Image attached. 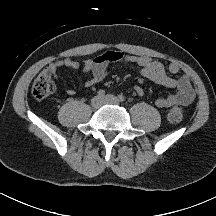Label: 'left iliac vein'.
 <instances>
[{
	"label": "left iliac vein",
	"mask_w": 216,
	"mask_h": 216,
	"mask_svg": "<svg viewBox=\"0 0 216 216\" xmlns=\"http://www.w3.org/2000/svg\"><path fill=\"white\" fill-rule=\"evenodd\" d=\"M103 103L105 104H111V105H117L119 104V101L117 99V97H115L114 95H106L102 98Z\"/></svg>",
	"instance_id": "1"
}]
</instances>
